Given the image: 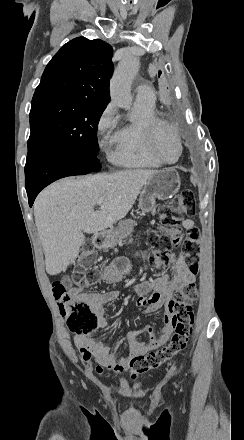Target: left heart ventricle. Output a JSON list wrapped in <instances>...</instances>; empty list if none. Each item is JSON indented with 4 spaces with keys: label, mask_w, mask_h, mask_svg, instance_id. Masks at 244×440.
<instances>
[{
    "label": "left heart ventricle",
    "mask_w": 244,
    "mask_h": 440,
    "mask_svg": "<svg viewBox=\"0 0 244 440\" xmlns=\"http://www.w3.org/2000/svg\"><path fill=\"white\" fill-rule=\"evenodd\" d=\"M156 148L159 154L166 160H173L177 155L178 140L176 135L168 130L162 131L157 136Z\"/></svg>",
    "instance_id": "1"
}]
</instances>
